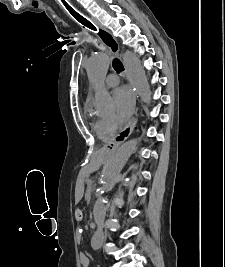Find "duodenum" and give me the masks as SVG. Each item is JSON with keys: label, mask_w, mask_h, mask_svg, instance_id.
Segmentation results:
<instances>
[{"label": "duodenum", "mask_w": 225, "mask_h": 267, "mask_svg": "<svg viewBox=\"0 0 225 267\" xmlns=\"http://www.w3.org/2000/svg\"><path fill=\"white\" fill-rule=\"evenodd\" d=\"M90 226H91L92 228H95V227H96V223H95V222H92Z\"/></svg>", "instance_id": "410a0bca"}]
</instances>
